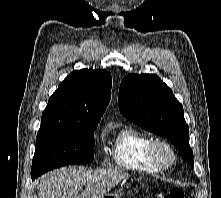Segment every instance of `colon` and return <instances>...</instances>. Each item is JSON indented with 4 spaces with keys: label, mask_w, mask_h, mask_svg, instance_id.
I'll use <instances>...</instances> for the list:
<instances>
[{
    "label": "colon",
    "mask_w": 221,
    "mask_h": 198,
    "mask_svg": "<svg viewBox=\"0 0 221 198\" xmlns=\"http://www.w3.org/2000/svg\"><path fill=\"white\" fill-rule=\"evenodd\" d=\"M157 198H185V194L179 188H172L167 193L158 195Z\"/></svg>",
    "instance_id": "1"
}]
</instances>
